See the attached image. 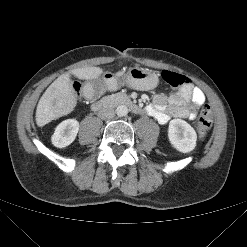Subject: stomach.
<instances>
[{
	"label": "stomach",
	"mask_w": 247,
	"mask_h": 247,
	"mask_svg": "<svg viewBox=\"0 0 247 247\" xmlns=\"http://www.w3.org/2000/svg\"><path fill=\"white\" fill-rule=\"evenodd\" d=\"M104 79L109 81L113 76L107 74ZM126 84L137 90H151L158 84V77L156 74L138 67L131 68L127 74L124 75Z\"/></svg>",
	"instance_id": "obj_1"
}]
</instances>
